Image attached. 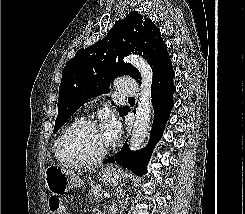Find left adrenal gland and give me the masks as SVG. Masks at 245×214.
I'll return each instance as SVG.
<instances>
[{"label": "left adrenal gland", "mask_w": 245, "mask_h": 214, "mask_svg": "<svg viewBox=\"0 0 245 214\" xmlns=\"http://www.w3.org/2000/svg\"><path fill=\"white\" fill-rule=\"evenodd\" d=\"M115 195H116L117 199H119L121 196L124 195V192H123L122 187H118V188L115 190Z\"/></svg>", "instance_id": "obj_1"}]
</instances>
